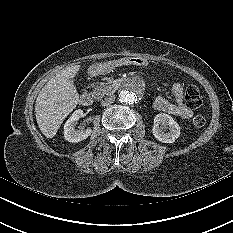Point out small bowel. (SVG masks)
Listing matches in <instances>:
<instances>
[{
    "label": "small bowel",
    "mask_w": 233,
    "mask_h": 233,
    "mask_svg": "<svg viewBox=\"0 0 233 233\" xmlns=\"http://www.w3.org/2000/svg\"><path fill=\"white\" fill-rule=\"evenodd\" d=\"M174 101L159 96L154 101V108L182 119H189L193 116V111L184 103V90L179 82L172 86Z\"/></svg>",
    "instance_id": "small-bowel-1"
}]
</instances>
